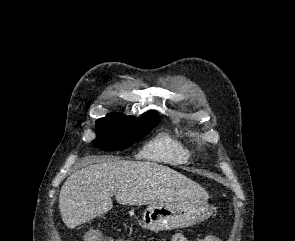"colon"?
Instances as JSON below:
<instances>
[{
	"mask_svg": "<svg viewBox=\"0 0 295 241\" xmlns=\"http://www.w3.org/2000/svg\"><path fill=\"white\" fill-rule=\"evenodd\" d=\"M85 241H103V238L98 230L91 229L85 235ZM173 241H187L181 235H175ZM201 241H221L218 237H209Z\"/></svg>",
	"mask_w": 295,
	"mask_h": 241,
	"instance_id": "5ec220e1",
	"label": "colon"
}]
</instances>
